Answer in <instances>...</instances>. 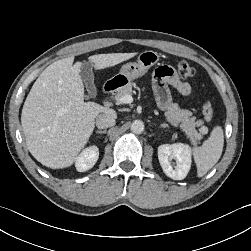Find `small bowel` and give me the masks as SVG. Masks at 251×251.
Instances as JSON below:
<instances>
[{"label":"small bowel","mask_w":251,"mask_h":251,"mask_svg":"<svg viewBox=\"0 0 251 251\" xmlns=\"http://www.w3.org/2000/svg\"><path fill=\"white\" fill-rule=\"evenodd\" d=\"M168 86L174 87L183 96H189L192 93L191 85L180 80L173 68L169 66L157 68L153 76V88L157 104L162 109L166 108L170 102Z\"/></svg>","instance_id":"obj_1"}]
</instances>
